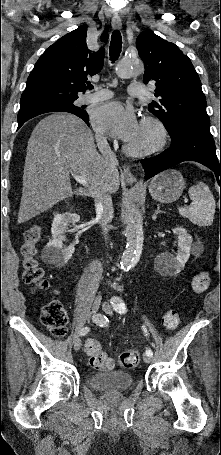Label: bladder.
Listing matches in <instances>:
<instances>
[{"label": "bladder", "instance_id": "1", "mask_svg": "<svg viewBox=\"0 0 221 455\" xmlns=\"http://www.w3.org/2000/svg\"><path fill=\"white\" fill-rule=\"evenodd\" d=\"M133 384L132 375L123 371L95 372L88 378L89 387L102 392L127 391Z\"/></svg>", "mask_w": 221, "mask_h": 455}]
</instances>
